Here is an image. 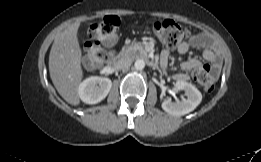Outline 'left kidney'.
<instances>
[{
    "mask_svg": "<svg viewBox=\"0 0 261 162\" xmlns=\"http://www.w3.org/2000/svg\"><path fill=\"white\" fill-rule=\"evenodd\" d=\"M178 90H184L187 99L173 102L167 99L162 102V108L165 112L173 116H182L192 112L202 101V94L191 83L178 80L175 84Z\"/></svg>",
    "mask_w": 261,
    "mask_h": 162,
    "instance_id": "1",
    "label": "left kidney"
}]
</instances>
